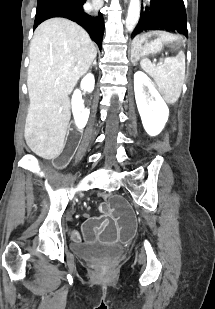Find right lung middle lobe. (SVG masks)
Wrapping results in <instances>:
<instances>
[{"mask_svg":"<svg viewBox=\"0 0 215 309\" xmlns=\"http://www.w3.org/2000/svg\"><path fill=\"white\" fill-rule=\"evenodd\" d=\"M48 1H51V0H38L37 6L45 2H48ZM59 1L69 2V3H81V2H84L85 0H59Z\"/></svg>","mask_w":215,"mask_h":309,"instance_id":"obj_1","label":"right lung middle lobe"}]
</instances>
